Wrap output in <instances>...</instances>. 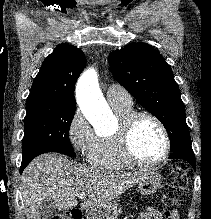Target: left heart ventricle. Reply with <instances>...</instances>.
Here are the masks:
<instances>
[{
    "label": "left heart ventricle",
    "instance_id": "1",
    "mask_svg": "<svg viewBox=\"0 0 211 219\" xmlns=\"http://www.w3.org/2000/svg\"><path fill=\"white\" fill-rule=\"evenodd\" d=\"M132 147L139 159L153 162L161 157L164 140L159 127L147 117L140 118L132 133Z\"/></svg>",
    "mask_w": 211,
    "mask_h": 219
}]
</instances>
